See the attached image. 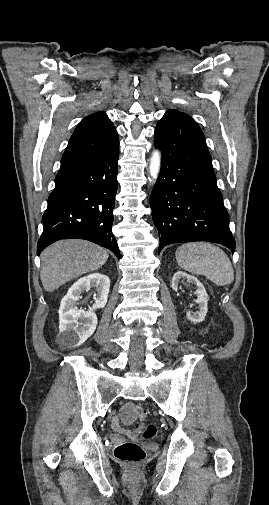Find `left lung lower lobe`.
Here are the masks:
<instances>
[{"label":"left lung lower lobe","instance_id":"obj_1","mask_svg":"<svg viewBox=\"0 0 269 505\" xmlns=\"http://www.w3.org/2000/svg\"><path fill=\"white\" fill-rule=\"evenodd\" d=\"M154 144L162 152L150 198L158 251L172 243L208 241L234 252L229 216L198 124L185 113L166 112L157 123Z\"/></svg>","mask_w":269,"mask_h":505}]
</instances>
